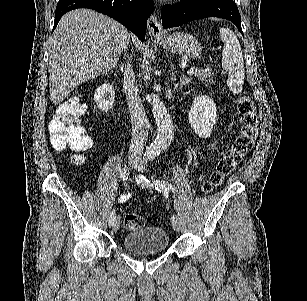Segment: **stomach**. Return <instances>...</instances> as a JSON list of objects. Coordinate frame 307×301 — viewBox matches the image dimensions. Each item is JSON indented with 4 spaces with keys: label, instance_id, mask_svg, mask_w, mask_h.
I'll use <instances>...</instances> for the list:
<instances>
[{
    "label": "stomach",
    "instance_id": "1",
    "mask_svg": "<svg viewBox=\"0 0 307 301\" xmlns=\"http://www.w3.org/2000/svg\"><path fill=\"white\" fill-rule=\"evenodd\" d=\"M153 38L175 54H185L191 58H196L201 54L202 46L199 40L188 32H172V34H161V36H153Z\"/></svg>",
    "mask_w": 307,
    "mask_h": 301
}]
</instances>
